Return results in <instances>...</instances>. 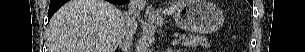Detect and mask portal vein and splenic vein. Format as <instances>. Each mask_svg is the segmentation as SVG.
Wrapping results in <instances>:
<instances>
[{
	"label": "portal vein and splenic vein",
	"instance_id": "18ae733b",
	"mask_svg": "<svg viewBox=\"0 0 305 52\" xmlns=\"http://www.w3.org/2000/svg\"><path fill=\"white\" fill-rule=\"evenodd\" d=\"M171 44H172L173 46L178 45V44H179V41H178L177 39H175V40H173V41L171 42Z\"/></svg>",
	"mask_w": 305,
	"mask_h": 52
}]
</instances>
